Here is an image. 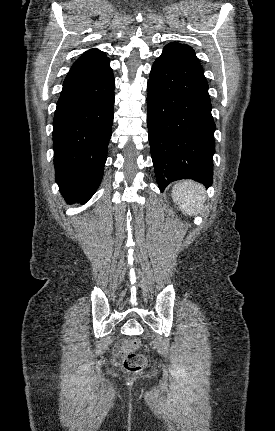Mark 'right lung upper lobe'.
<instances>
[{
	"mask_svg": "<svg viewBox=\"0 0 275 431\" xmlns=\"http://www.w3.org/2000/svg\"><path fill=\"white\" fill-rule=\"evenodd\" d=\"M109 69L111 68L106 54L98 49H91L75 61L63 85L88 80Z\"/></svg>",
	"mask_w": 275,
	"mask_h": 431,
	"instance_id": "obj_1",
	"label": "right lung upper lobe"
}]
</instances>
